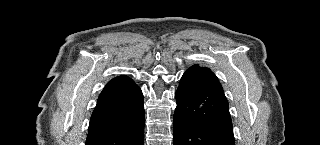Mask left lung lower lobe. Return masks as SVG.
<instances>
[{
    "instance_id": "obj_1",
    "label": "left lung lower lobe",
    "mask_w": 320,
    "mask_h": 145,
    "mask_svg": "<svg viewBox=\"0 0 320 145\" xmlns=\"http://www.w3.org/2000/svg\"><path fill=\"white\" fill-rule=\"evenodd\" d=\"M174 145H235L228 101L215 74L198 64L176 91Z\"/></svg>"
}]
</instances>
